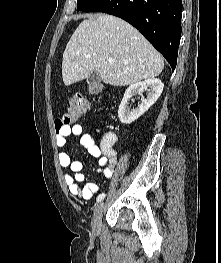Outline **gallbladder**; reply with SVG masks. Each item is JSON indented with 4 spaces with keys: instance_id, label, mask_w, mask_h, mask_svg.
<instances>
[{
    "instance_id": "gallbladder-1",
    "label": "gallbladder",
    "mask_w": 221,
    "mask_h": 263,
    "mask_svg": "<svg viewBox=\"0 0 221 263\" xmlns=\"http://www.w3.org/2000/svg\"><path fill=\"white\" fill-rule=\"evenodd\" d=\"M101 82V77L98 73V71H94L87 79V84L89 86H97Z\"/></svg>"
}]
</instances>
